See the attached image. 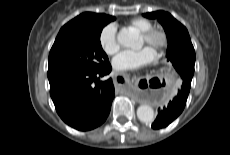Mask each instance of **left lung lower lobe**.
<instances>
[{
  "label": "left lung lower lobe",
  "mask_w": 230,
  "mask_h": 155,
  "mask_svg": "<svg viewBox=\"0 0 230 155\" xmlns=\"http://www.w3.org/2000/svg\"><path fill=\"white\" fill-rule=\"evenodd\" d=\"M190 78L182 79V86L178 88L177 95L163 109H158V116L152 124L153 129H160L168 126L183 111L191 87Z\"/></svg>",
  "instance_id": "0a47b994"
}]
</instances>
